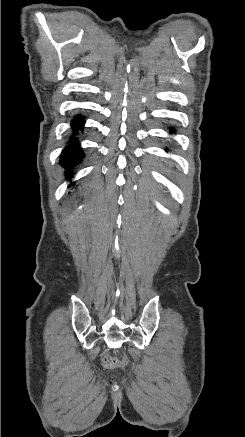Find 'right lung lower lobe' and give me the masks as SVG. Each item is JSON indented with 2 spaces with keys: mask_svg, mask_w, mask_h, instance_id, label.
Returning a JSON list of instances; mask_svg holds the SVG:
<instances>
[{
  "mask_svg": "<svg viewBox=\"0 0 245 437\" xmlns=\"http://www.w3.org/2000/svg\"><path fill=\"white\" fill-rule=\"evenodd\" d=\"M84 117L82 115H77L72 123V133L76 134L79 130H83ZM70 137V146L66 147L61 156V165L65 167L67 171V178H71L73 173L70 171V168L74 167L75 164L80 163L84 157V153L82 150L76 148L79 145V140L74 136Z\"/></svg>",
  "mask_w": 245,
  "mask_h": 437,
  "instance_id": "1",
  "label": "right lung lower lobe"
}]
</instances>
